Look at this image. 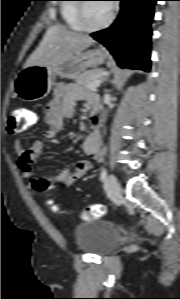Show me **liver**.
<instances>
[{
	"label": "liver",
	"instance_id": "1",
	"mask_svg": "<svg viewBox=\"0 0 180 299\" xmlns=\"http://www.w3.org/2000/svg\"><path fill=\"white\" fill-rule=\"evenodd\" d=\"M95 41L88 35L71 31L61 25L49 27L38 47L27 59L30 65L48 66L83 51Z\"/></svg>",
	"mask_w": 180,
	"mask_h": 299
}]
</instances>
